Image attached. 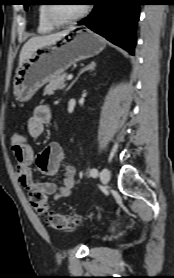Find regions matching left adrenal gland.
Segmentation results:
<instances>
[{
	"instance_id": "left-adrenal-gland-1",
	"label": "left adrenal gland",
	"mask_w": 174,
	"mask_h": 278,
	"mask_svg": "<svg viewBox=\"0 0 174 278\" xmlns=\"http://www.w3.org/2000/svg\"><path fill=\"white\" fill-rule=\"evenodd\" d=\"M95 62H91L90 64H88L86 67H84L77 75V77L74 79V81H72V83L68 86L67 90L71 89V87L74 85V83L78 80V78L80 77V75L82 73H84L85 71H92L95 69Z\"/></svg>"
}]
</instances>
